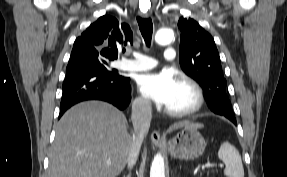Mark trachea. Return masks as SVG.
Returning a JSON list of instances; mask_svg holds the SVG:
<instances>
[{
  "label": "trachea",
  "mask_w": 287,
  "mask_h": 177,
  "mask_svg": "<svg viewBox=\"0 0 287 177\" xmlns=\"http://www.w3.org/2000/svg\"><path fill=\"white\" fill-rule=\"evenodd\" d=\"M140 32L147 46H150L153 34V23L150 18H137ZM125 51V50H124Z\"/></svg>",
  "instance_id": "1"
}]
</instances>
